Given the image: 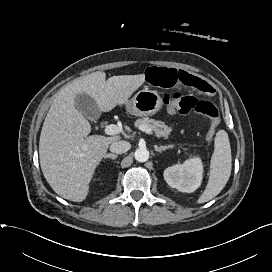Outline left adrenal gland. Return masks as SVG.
I'll return each mask as SVG.
<instances>
[{"label":"left adrenal gland","mask_w":272,"mask_h":272,"mask_svg":"<svg viewBox=\"0 0 272 272\" xmlns=\"http://www.w3.org/2000/svg\"><path fill=\"white\" fill-rule=\"evenodd\" d=\"M168 148H173V145L160 146V147H158V146L155 145V150H156L157 152H160V153H162L163 151H165V150L168 149Z\"/></svg>","instance_id":"left-adrenal-gland-1"}]
</instances>
